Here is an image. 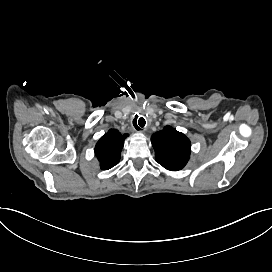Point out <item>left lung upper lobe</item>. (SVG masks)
<instances>
[{
    "label": "left lung upper lobe",
    "mask_w": 272,
    "mask_h": 272,
    "mask_svg": "<svg viewBox=\"0 0 272 272\" xmlns=\"http://www.w3.org/2000/svg\"><path fill=\"white\" fill-rule=\"evenodd\" d=\"M155 160L164 168L178 171L184 168L190 158V140L171 126L156 132L151 137Z\"/></svg>",
    "instance_id": "1"
}]
</instances>
